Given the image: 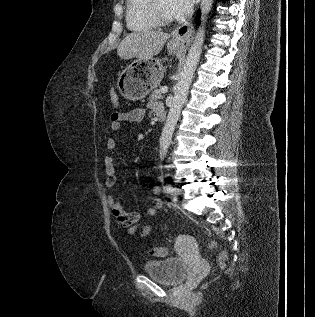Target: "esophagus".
<instances>
[{
  "label": "esophagus",
  "instance_id": "esophagus-1",
  "mask_svg": "<svg viewBox=\"0 0 315 317\" xmlns=\"http://www.w3.org/2000/svg\"><path fill=\"white\" fill-rule=\"evenodd\" d=\"M193 36V27L191 23L184 24L179 28L175 29L172 33V37L177 41L183 48H187Z\"/></svg>",
  "mask_w": 315,
  "mask_h": 317
}]
</instances>
